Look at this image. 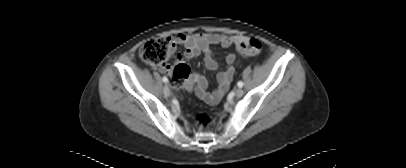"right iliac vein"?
Instances as JSON below:
<instances>
[{
  "label": "right iliac vein",
  "mask_w": 406,
  "mask_h": 168,
  "mask_svg": "<svg viewBox=\"0 0 406 168\" xmlns=\"http://www.w3.org/2000/svg\"><path fill=\"white\" fill-rule=\"evenodd\" d=\"M163 93H164V96L165 97H169L170 96V88H169V86H167V85H165L164 86V88H163Z\"/></svg>",
  "instance_id": "63e3f726"
}]
</instances>
